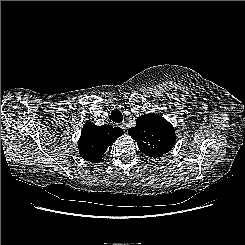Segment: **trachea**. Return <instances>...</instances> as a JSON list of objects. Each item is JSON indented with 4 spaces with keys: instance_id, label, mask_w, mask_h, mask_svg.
<instances>
[{
    "instance_id": "3493384b",
    "label": "trachea",
    "mask_w": 245,
    "mask_h": 245,
    "mask_svg": "<svg viewBox=\"0 0 245 245\" xmlns=\"http://www.w3.org/2000/svg\"><path fill=\"white\" fill-rule=\"evenodd\" d=\"M111 120L115 123H120L123 120V115L118 109H114L111 112Z\"/></svg>"
}]
</instances>
